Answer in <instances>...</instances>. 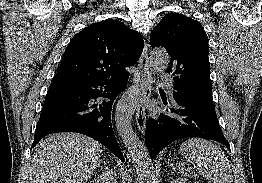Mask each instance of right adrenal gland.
Returning a JSON list of instances; mask_svg holds the SVG:
<instances>
[{
	"instance_id": "obj_1",
	"label": "right adrenal gland",
	"mask_w": 262,
	"mask_h": 183,
	"mask_svg": "<svg viewBox=\"0 0 262 183\" xmlns=\"http://www.w3.org/2000/svg\"><path fill=\"white\" fill-rule=\"evenodd\" d=\"M101 163H102V164H106V163H105V162H103V161H101V162H100V164H101Z\"/></svg>"
}]
</instances>
